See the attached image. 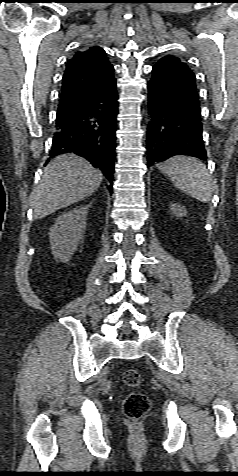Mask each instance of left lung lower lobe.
Instances as JSON below:
<instances>
[{
  "mask_svg": "<svg viewBox=\"0 0 238 476\" xmlns=\"http://www.w3.org/2000/svg\"><path fill=\"white\" fill-rule=\"evenodd\" d=\"M148 101L151 115L147 137L148 166L175 155L206 160L197 94L153 66L148 82Z\"/></svg>",
  "mask_w": 238,
  "mask_h": 476,
  "instance_id": "left-lung-lower-lobe-1",
  "label": "left lung lower lobe"
}]
</instances>
